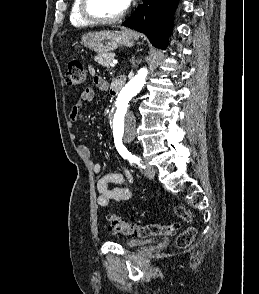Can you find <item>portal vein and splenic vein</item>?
<instances>
[{"instance_id":"18ae733b","label":"portal vein and splenic vein","mask_w":259,"mask_h":294,"mask_svg":"<svg viewBox=\"0 0 259 294\" xmlns=\"http://www.w3.org/2000/svg\"><path fill=\"white\" fill-rule=\"evenodd\" d=\"M117 63H118L117 61H112V62L110 63V66H111V67H115V65H116Z\"/></svg>"}]
</instances>
